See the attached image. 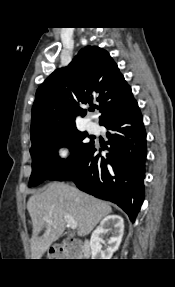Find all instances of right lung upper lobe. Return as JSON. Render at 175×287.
I'll list each match as a JSON object with an SVG mask.
<instances>
[{
    "label": "right lung upper lobe",
    "instance_id": "cb5924a9",
    "mask_svg": "<svg viewBox=\"0 0 175 287\" xmlns=\"http://www.w3.org/2000/svg\"><path fill=\"white\" fill-rule=\"evenodd\" d=\"M68 98H72L68 100ZM135 100L130 86L107 51L87 46L65 68L55 70L38 88L32 109V143L76 128L79 105L99 102L100 121Z\"/></svg>",
    "mask_w": 175,
    "mask_h": 287
}]
</instances>
